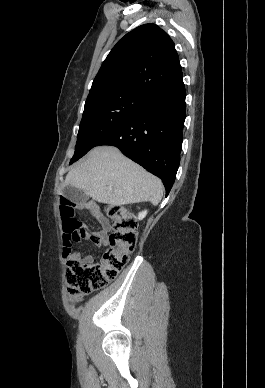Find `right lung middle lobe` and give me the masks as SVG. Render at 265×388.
Here are the masks:
<instances>
[{
	"label": "right lung middle lobe",
	"mask_w": 265,
	"mask_h": 388,
	"mask_svg": "<svg viewBox=\"0 0 265 388\" xmlns=\"http://www.w3.org/2000/svg\"><path fill=\"white\" fill-rule=\"evenodd\" d=\"M144 98L130 92L108 90L88 95L70 164L84 156L105 135L131 116Z\"/></svg>",
	"instance_id": "1"
}]
</instances>
